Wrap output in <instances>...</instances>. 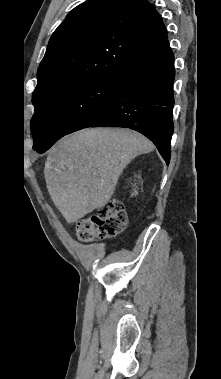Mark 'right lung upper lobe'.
I'll use <instances>...</instances> for the list:
<instances>
[{
	"instance_id": "cb5924a9",
	"label": "right lung upper lobe",
	"mask_w": 221,
	"mask_h": 379,
	"mask_svg": "<svg viewBox=\"0 0 221 379\" xmlns=\"http://www.w3.org/2000/svg\"><path fill=\"white\" fill-rule=\"evenodd\" d=\"M168 47L162 17L148 0H88L51 36L33 99L99 74L121 73Z\"/></svg>"
}]
</instances>
